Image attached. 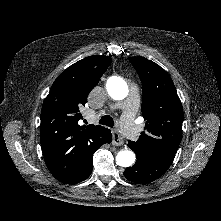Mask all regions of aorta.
Instances as JSON below:
<instances>
[{"mask_svg":"<svg viewBox=\"0 0 221 221\" xmlns=\"http://www.w3.org/2000/svg\"><path fill=\"white\" fill-rule=\"evenodd\" d=\"M106 89L109 96L115 100H122L129 93L127 83L117 76H112L108 79ZM135 159L136 157L134 152L128 149H122L116 155V163L122 167L132 166Z\"/></svg>","mask_w":221,"mask_h":221,"instance_id":"1","label":"aorta"}]
</instances>
